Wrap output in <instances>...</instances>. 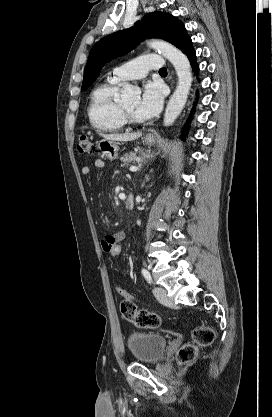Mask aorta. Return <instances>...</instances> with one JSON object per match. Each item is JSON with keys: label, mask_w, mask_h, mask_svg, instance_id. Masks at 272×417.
<instances>
[{"label": "aorta", "mask_w": 272, "mask_h": 417, "mask_svg": "<svg viewBox=\"0 0 272 417\" xmlns=\"http://www.w3.org/2000/svg\"><path fill=\"white\" fill-rule=\"evenodd\" d=\"M147 45L159 51L174 66L177 76L178 85L171 96L165 114L164 125L170 126L179 116L187 101L192 84L191 66L187 56L179 49L168 42L162 40H151ZM140 89L129 83H125L121 93L122 102L139 103Z\"/></svg>", "instance_id": "obj_1"}]
</instances>
